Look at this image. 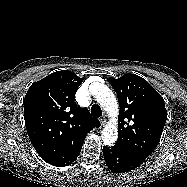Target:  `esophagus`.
<instances>
[{
    "label": "esophagus",
    "instance_id": "1",
    "mask_svg": "<svg viewBox=\"0 0 187 187\" xmlns=\"http://www.w3.org/2000/svg\"><path fill=\"white\" fill-rule=\"evenodd\" d=\"M106 122H107V120L104 116L100 118V123H101L102 126H105Z\"/></svg>",
    "mask_w": 187,
    "mask_h": 187
}]
</instances>
